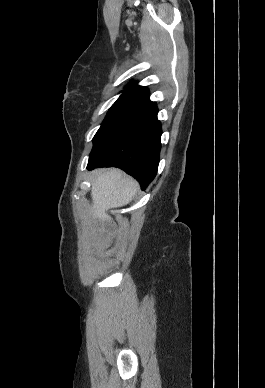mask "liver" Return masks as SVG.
Returning <instances> with one entry per match:
<instances>
[{
	"mask_svg": "<svg viewBox=\"0 0 265 388\" xmlns=\"http://www.w3.org/2000/svg\"><path fill=\"white\" fill-rule=\"evenodd\" d=\"M139 190L138 182L125 176L121 170H96L91 180V198L93 200L90 208L97 220H111L107 210L111 208H122L131 202Z\"/></svg>",
	"mask_w": 265,
	"mask_h": 388,
	"instance_id": "obj_1",
	"label": "liver"
}]
</instances>
